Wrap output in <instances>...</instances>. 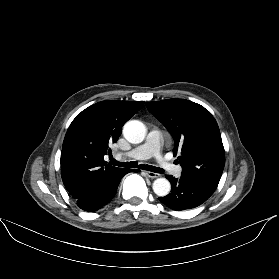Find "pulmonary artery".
<instances>
[{"instance_id": "e3ab8cb5", "label": "pulmonary artery", "mask_w": 279, "mask_h": 279, "mask_svg": "<svg viewBox=\"0 0 279 279\" xmlns=\"http://www.w3.org/2000/svg\"><path fill=\"white\" fill-rule=\"evenodd\" d=\"M160 147H161V132L157 129H152L148 133L146 141L132 149L131 151L125 153L127 157L137 158V159H147L149 157H156L163 163V167L166 168L170 173L175 176L181 174V167L174 166L168 162H165L161 159L160 156Z\"/></svg>"}]
</instances>
